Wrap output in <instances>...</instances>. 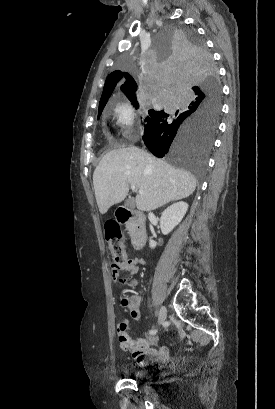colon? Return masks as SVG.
I'll return each mask as SVG.
<instances>
[{"mask_svg":"<svg viewBox=\"0 0 275 409\" xmlns=\"http://www.w3.org/2000/svg\"><path fill=\"white\" fill-rule=\"evenodd\" d=\"M103 231L104 239L107 241L110 251L116 258V260L111 263V268L113 270H124L126 265L131 263V258L129 256H124V243L122 241V230L119 223L113 220L108 221L105 223ZM124 282L130 286L135 285L134 280H124ZM123 302L130 313L134 306H137L140 309V299L137 296L126 297ZM175 342L178 343L179 339Z\"/></svg>","mask_w":275,"mask_h":409,"instance_id":"obj_1","label":"colon"}]
</instances>
